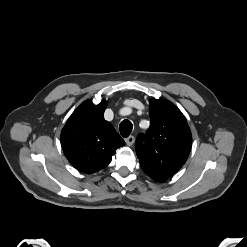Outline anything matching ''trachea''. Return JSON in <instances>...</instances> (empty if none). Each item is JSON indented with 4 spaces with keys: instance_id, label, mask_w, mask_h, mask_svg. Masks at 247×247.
<instances>
[{
    "instance_id": "1",
    "label": "trachea",
    "mask_w": 247,
    "mask_h": 247,
    "mask_svg": "<svg viewBox=\"0 0 247 247\" xmlns=\"http://www.w3.org/2000/svg\"><path fill=\"white\" fill-rule=\"evenodd\" d=\"M133 125L129 120H123L119 125L120 134L128 137L132 131Z\"/></svg>"
}]
</instances>
